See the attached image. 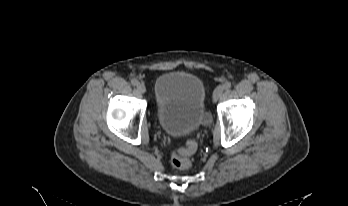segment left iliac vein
<instances>
[{"label":"left iliac vein","instance_id":"1","mask_svg":"<svg viewBox=\"0 0 348 206\" xmlns=\"http://www.w3.org/2000/svg\"><path fill=\"white\" fill-rule=\"evenodd\" d=\"M224 88L223 86H218L216 87V89L214 90L213 93V100L216 102L223 94Z\"/></svg>","mask_w":348,"mask_h":206}]
</instances>
